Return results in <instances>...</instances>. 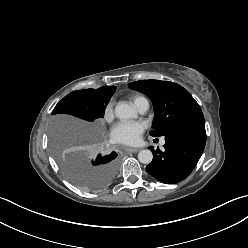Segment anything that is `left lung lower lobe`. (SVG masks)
<instances>
[{"label": "left lung lower lobe", "mask_w": 248, "mask_h": 248, "mask_svg": "<svg viewBox=\"0 0 248 248\" xmlns=\"http://www.w3.org/2000/svg\"><path fill=\"white\" fill-rule=\"evenodd\" d=\"M206 143L204 116H195L178 125L165 135L164 151L153 152L147 172L165 184H175L193 171Z\"/></svg>", "instance_id": "left-lung-lower-lobe-1"}]
</instances>
